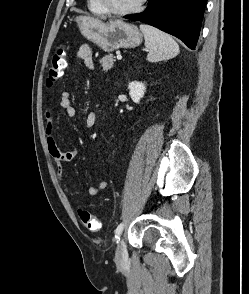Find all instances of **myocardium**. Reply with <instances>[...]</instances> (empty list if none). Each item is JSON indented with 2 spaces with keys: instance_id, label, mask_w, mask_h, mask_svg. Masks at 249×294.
Returning a JSON list of instances; mask_svg holds the SVG:
<instances>
[{
  "instance_id": "f54148a6",
  "label": "myocardium",
  "mask_w": 249,
  "mask_h": 294,
  "mask_svg": "<svg viewBox=\"0 0 249 294\" xmlns=\"http://www.w3.org/2000/svg\"><path fill=\"white\" fill-rule=\"evenodd\" d=\"M100 8L103 10L104 14L114 15V16H126L133 13L140 11L143 6L145 5L147 0H138L133 6L122 9V10H115L107 7L103 0H96Z\"/></svg>"
}]
</instances>
